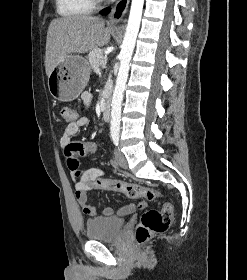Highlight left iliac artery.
<instances>
[{
	"label": "left iliac artery",
	"mask_w": 247,
	"mask_h": 280,
	"mask_svg": "<svg viewBox=\"0 0 247 280\" xmlns=\"http://www.w3.org/2000/svg\"><path fill=\"white\" fill-rule=\"evenodd\" d=\"M113 142L116 146H118L119 138L118 137H113Z\"/></svg>",
	"instance_id": "obj_1"
}]
</instances>
